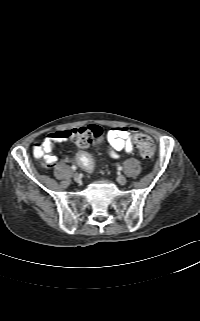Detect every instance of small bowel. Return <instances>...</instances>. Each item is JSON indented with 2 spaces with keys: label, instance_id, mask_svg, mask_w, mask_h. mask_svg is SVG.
Instances as JSON below:
<instances>
[{
  "label": "small bowel",
  "instance_id": "1",
  "mask_svg": "<svg viewBox=\"0 0 200 321\" xmlns=\"http://www.w3.org/2000/svg\"><path fill=\"white\" fill-rule=\"evenodd\" d=\"M69 130L56 131L50 133L43 144L36 149V155L43 157L45 163L54 166L58 158L53 154V148L56 143L68 140L65 135ZM138 133L136 128L132 127H113L107 133L106 151L112 158H119L121 153L132 154L134 151L133 136ZM69 159L64 158L63 162Z\"/></svg>",
  "mask_w": 200,
  "mask_h": 321
}]
</instances>
